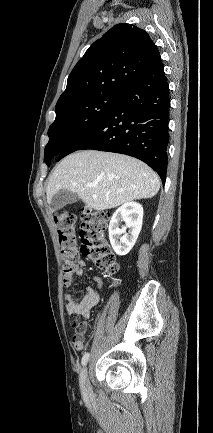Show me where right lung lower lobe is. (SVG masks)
Here are the masks:
<instances>
[{"label":"right lung lower lobe","mask_w":213,"mask_h":433,"mask_svg":"<svg viewBox=\"0 0 213 433\" xmlns=\"http://www.w3.org/2000/svg\"><path fill=\"white\" fill-rule=\"evenodd\" d=\"M169 108V85L160 58L143 78L121 95L117 104L100 122L58 155V161L83 149L126 154L148 164L164 184Z\"/></svg>","instance_id":"98d812e1"}]
</instances>
